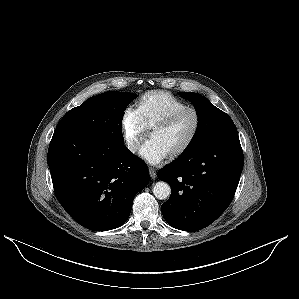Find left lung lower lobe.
<instances>
[{
    "label": "left lung lower lobe",
    "mask_w": 299,
    "mask_h": 299,
    "mask_svg": "<svg viewBox=\"0 0 299 299\" xmlns=\"http://www.w3.org/2000/svg\"><path fill=\"white\" fill-rule=\"evenodd\" d=\"M243 163L236 127L215 136L200 149L182 153L157 173L172 190L161 206L164 219L183 231L209 226L230 205Z\"/></svg>",
    "instance_id": "obj_1"
}]
</instances>
